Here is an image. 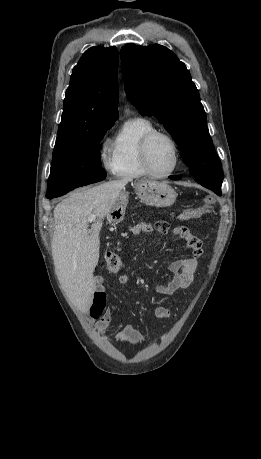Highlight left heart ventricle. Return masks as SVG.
Returning a JSON list of instances; mask_svg holds the SVG:
<instances>
[{
  "label": "left heart ventricle",
  "mask_w": 261,
  "mask_h": 459,
  "mask_svg": "<svg viewBox=\"0 0 261 459\" xmlns=\"http://www.w3.org/2000/svg\"><path fill=\"white\" fill-rule=\"evenodd\" d=\"M174 150L171 143L164 137L156 138L150 148V164L157 173H166L174 165Z\"/></svg>",
  "instance_id": "1"
}]
</instances>
